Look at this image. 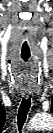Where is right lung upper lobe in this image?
<instances>
[{
	"instance_id": "cb5924a9",
	"label": "right lung upper lobe",
	"mask_w": 53,
	"mask_h": 133,
	"mask_svg": "<svg viewBox=\"0 0 53 133\" xmlns=\"http://www.w3.org/2000/svg\"><path fill=\"white\" fill-rule=\"evenodd\" d=\"M0 115H1V124L3 125V123H4V120H5V110H4V108L1 106V113H0Z\"/></svg>"
}]
</instances>
